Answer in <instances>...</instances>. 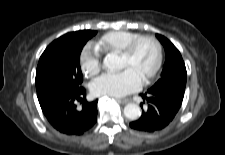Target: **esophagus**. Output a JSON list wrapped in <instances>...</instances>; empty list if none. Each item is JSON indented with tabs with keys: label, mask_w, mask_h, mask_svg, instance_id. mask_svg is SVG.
Wrapping results in <instances>:
<instances>
[{
	"label": "esophagus",
	"mask_w": 225,
	"mask_h": 155,
	"mask_svg": "<svg viewBox=\"0 0 225 155\" xmlns=\"http://www.w3.org/2000/svg\"><path fill=\"white\" fill-rule=\"evenodd\" d=\"M117 101H118L119 103H121V104H127V103L130 102L129 99H118Z\"/></svg>",
	"instance_id": "esophagus-1"
}]
</instances>
